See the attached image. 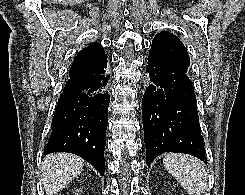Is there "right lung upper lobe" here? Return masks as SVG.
Masks as SVG:
<instances>
[{
    "label": "right lung upper lobe",
    "instance_id": "1",
    "mask_svg": "<svg viewBox=\"0 0 245 195\" xmlns=\"http://www.w3.org/2000/svg\"><path fill=\"white\" fill-rule=\"evenodd\" d=\"M106 66L107 55L101 44L94 42L78 53L71 66L69 76L88 75L93 70H98Z\"/></svg>",
    "mask_w": 245,
    "mask_h": 195
}]
</instances>
